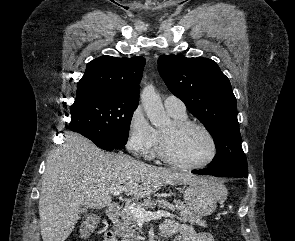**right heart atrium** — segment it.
<instances>
[{
	"instance_id": "right-heart-atrium-1",
	"label": "right heart atrium",
	"mask_w": 295,
	"mask_h": 241,
	"mask_svg": "<svg viewBox=\"0 0 295 241\" xmlns=\"http://www.w3.org/2000/svg\"><path fill=\"white\" fill-rule=\"evenodd\" d=\"M156 130L151 126L141 107H137L128 121L127 147L138 155L148 156L155 146Z\"/></svg>"
}]
</instances>
